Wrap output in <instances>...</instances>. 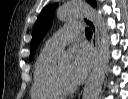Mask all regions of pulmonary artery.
<instances>
[{
    "label": "pulmonary artery",
    "mask_w": 128,
    "mask_h": 99,
    "mask_svg": "<svg viewBox=\"0 0 128 99\" xmlns=\"http://www.w3.org/2000/svg\"><path fill=\"white\" fill-rule=\"evenodd\" d=\"M82 26L80 23L67 24L59 29L46 43V47L55 51H60L65 45L75 41L80 32Z\"/></svg>",
    "instance_id": "e3ab8cb5"
}]
</instances>
